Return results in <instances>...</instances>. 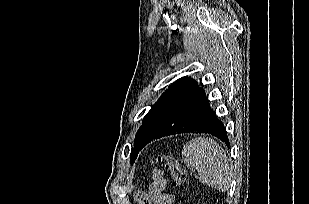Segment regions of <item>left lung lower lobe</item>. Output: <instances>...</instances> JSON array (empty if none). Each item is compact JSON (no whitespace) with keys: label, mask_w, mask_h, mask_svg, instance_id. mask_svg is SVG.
Returning a JSON list of instances; mask_svg holds the SVG:
<instances>
[{"label":"left lung lower lobe","mask_w":309,"mask_h":204,"mask_svg":"<svg viewBox=\"0 0 309 204\" xmlns=\"http://www.w3.org/2000/svg\"><path fill=\"white\" fill-rule=\"evenodd\" d=\"M177 133H208L229 147L224 125L208 105L201 88L175 102L157 119L146 134L141 149L155 139Z\"/></svg>","instance_id":"1"}]
</instances>
